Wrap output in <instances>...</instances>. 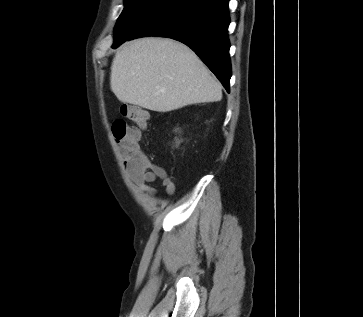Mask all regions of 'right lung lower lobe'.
<instances>
[{
    "instance_id": "obj_1",
    "label": "right lung lower lobe",
    "mask_w": 363,
    "mask_h": 317,
    "mask_svg": "<svg viewBox=\"0 0 363 317\" xmlns=\"http://www.w3.org/2000/svg\"><path fill=\"white\" fill-rule=\"evenodd\" d=\"M228 3L229 0H179L144 23L127 40L162 36L186 44L229 92Z\"/></svg>"
}]
</instances>
